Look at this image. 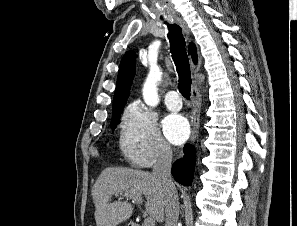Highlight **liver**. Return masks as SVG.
Listing matches in <instances>:
<instances>
[{
	"label": "liver",
	"mask_w": 297,
	"mask_h": 226,
	"mask_svg": "<svg viewBox=\"0 0 297 226\" xmlns=\"http://www.w3.org/2000/svg\"><path fill=\"white\" fill-rule=\"evenodd\" d=\"M114 194H123L127 200L111 202ZM91 195L95 204L97 226H117L129 219L134 208L128 199L141 196L146 198L147 213L160 223L164 221L165 190L159 180L146 171L122 167L105 168L96 180Z\"/></svg>",
	"instance_id": "liver-1"
}]
</instances>
